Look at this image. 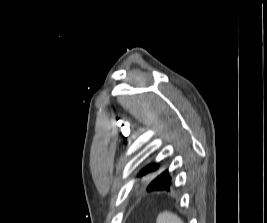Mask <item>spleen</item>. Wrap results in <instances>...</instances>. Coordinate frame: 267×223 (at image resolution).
Instances as JSON below:
<instances>
[{"label":"spleen","instance_id":"spleen-1","mask_svg":"<svg viewBox=\"0 0 267 223\" xmlns=\"http://www.w3.org/2000/svg\"><path fill=\"white\" fill-rule=\"evenodd\" d=\"M156 223H184L177 215L171 212H163L157 217Z\"/></svg>","mask_w":267,"mask_h":223}]
</instances>
